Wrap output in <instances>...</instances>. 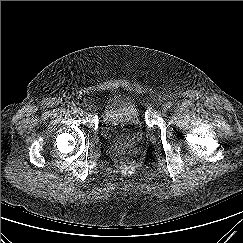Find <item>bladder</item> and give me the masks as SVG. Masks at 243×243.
Masks as SVG:
<instances>
[{"instance_id":"1","label":"bladder","mask_w":243,"mask_h":243,"mask_svg":"<svg viewBox=\"0 0 243 243\" xmlns=\"http://www.w3.org/2000/svg\"><path fill=\"white\" fill-rule=\"evenodd\" d=\"M100 133L109 143L126 146L139 144L145 135L139 109L127 94H115L108 99L101 117Z\"/></svg>"}]
</instances>
